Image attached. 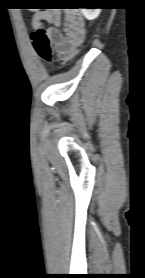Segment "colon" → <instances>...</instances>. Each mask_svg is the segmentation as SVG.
I'll return each instance as SVG.
<instances>
[{
	"instance_id": "5ec220e1",
	"label": "colon",
	"mask_w": 145,
	"mask_h": 278,
	"mask_svg": "<svg viewBox=\"0 0 145 278\" xmlns=\"http://www.w3.org/2000/svg\"><path fill=\"white\" fill-rule=\"evenodd\" d=\"M73 8H79L78 5H73ZM39 9V8H33ZM33 43L37 48V52L39 57L42 59L43 62L48 63L51 61L52 58V48L50 45L49 38L44 30V24L41 23V28L33 33Z\"/></svg>"
}]
</instances>
